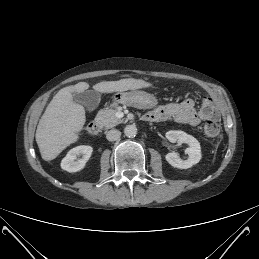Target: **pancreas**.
Instances as JSON below:
<instances>
[{
	"label": "pancreas",
	"instance_id": "obj_1",
	"mask_svg": "<svg viewBox=\"0 0 259 259\" xmlns=\"http://www.w3.org/2000/svg\"><path fill=\"white\" fill-rule=\"evenodd\" d=\"M96 121L105 129L115 127L123 122V119L116 117V110L113 108L101 109L96 116Z\"/></svg>",
	"mask_w": 259,
	"mask_h": 259
}]
</instances>
